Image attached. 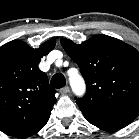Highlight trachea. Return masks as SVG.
Returning <instances> with one entry per match:
<instances>
[{
	"label": "trachea",
	"mask_w": 139,
	"mask_h": 139,
	"mask_svg": "<svg viewBox=\"0 0 139 139\" xmlns=\"http://www.w3.org/2000/svg\"><path fill=\"white\" fill-rule=\"evenodd\" d=\"M50 83L54 88L59 89L65 86L66 79L64 75L58 73V74L53 75Z\"/></svg>",
	"instance_id": "trachea-1"
}]
</instances>
